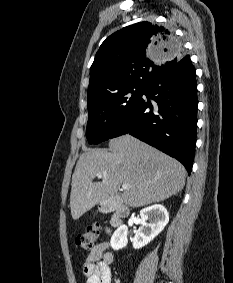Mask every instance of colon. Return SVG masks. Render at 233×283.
I'll use <instances>...</instances> for the list:
<instances>
[{"label":"colon","instance_id":"5ec220e1","mask_svg":"<svg viewBox=\"0 0 233 283\" xmlns=\"http://www.w3.org/2000/svg\"><path fill=\"white\" fill-rule=\"evenodd\" d=\"M100 234V227L98 224L88 226L76 238V245L84 250H90L95 246Z\"/></svg>","mask_w":233,"mask_h":283}]
</instances>
